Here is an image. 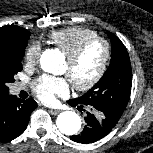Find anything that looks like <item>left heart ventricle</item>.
<instances>
[{
  "label": "left heart ventricle",
  "mask_w": 153,
  "mask_h": 153,
  "mask_svg": "<svg viewBox=\"0 0 153 153\" xmlns=\"http://www.w3.org/2000/svg\"><path fill=\"white\" fill-rule=\"evenodd\" d=\"M104 45L96 42L89 46L80 59L73 65L66 60L63 72L76 83L89 81L98 71L104 58Z\"/></svg>",
  "instance_id": "b2bd125f"
}]
</instances>
